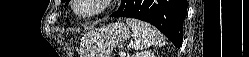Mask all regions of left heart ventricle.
<instances>
[{
	"label": "left heart ventricle",
	"instance_id": "b2bd125f",
	"mask_svg": "<svg viewBox=\"0 0 249 57\" xmlns=\"http://www.w3.org/2000/svg\"><path fill=\"white\" fill-rule=\"evenodd\" d=\"M97 7L95 0H84L83 3L79 6V11L81 12H91Z\"/></svg>",
	"mask_w": 249,
	"mask_h": 57
}]
</instances>
